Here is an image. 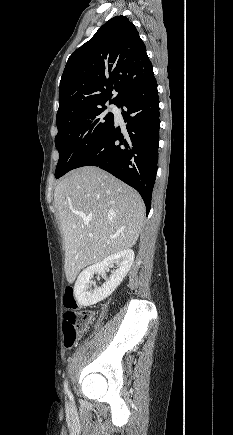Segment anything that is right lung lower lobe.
Wrapping results in <instances>:
<instances>
[{
    "mask_svg": "<svg viewBox=\"0 0 233 435\" xmlns=\"http://www.w3.org/2000/svg\"><path fill=\"white\" fill-rule=\"evenodd\" d=\"M117 106L122 108L126 126L121 128L113 122L74 169L92 165L111 173L140 193L148 214L158 168L160 127L154 74L131 88Z\"/></svg>",
    "mask_w": 233,
    "mask_h": 435,
    "instance_id": "right-lung-lower-lobe-1",
    "label": "right lung lower lobe"
}]
</instances>
